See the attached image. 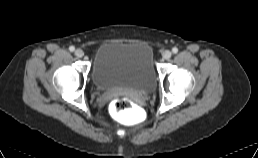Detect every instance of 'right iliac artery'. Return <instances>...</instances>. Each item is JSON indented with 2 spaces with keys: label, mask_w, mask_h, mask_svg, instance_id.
<instances>
[{
  "label": "right iliac artery",
  "mask_w": 258,
  "mask_h": 158,
  "mask_svg": "<svg viewBox=\"0 0 258 158\" xmlns=\"http://www.w3.org/2000/svg\"><path fill=\"white\" fill-rule=\"evenodd\" d=\"M69 50H70L71 52H73V51L75 50V47H74V46H70V47H69Z\"/></svg>",
  "instance_id": "obj_1"
}]
</instances>
